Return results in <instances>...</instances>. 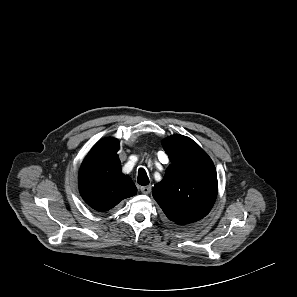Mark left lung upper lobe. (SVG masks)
Listing matches in <instances>:
<instances>
[{
	"label": "left lung upper lobe",
	"mask_w": 297,
	"mask_h": 297,
	"mask_svg": "<svg viewBox=\"0 0 297 297\" xmlns=\"http://www.w3.org/2000/svg\"><path fill=\"white\" fill-rule=\"evenodd\" d=\"M171 164L152 194L168 219L179 225L204 218L218 191L215 166L192 139L172 135L163 140Z\"/></svg>",
	"instance_id": "5c2ea615"
}]
</instances>
